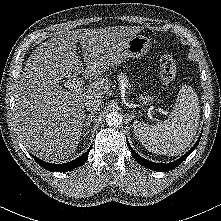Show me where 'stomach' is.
<instances>
[{
    "label": "stomach",
    "instance_id": "obj_1",
    "mask_svg": "<svg viewBox=\"0 0 221 221\" xmlns=\"http://www.w3.org/2000/svg\"><path fill=\"white\" fill-rule=\"evenodd\" d=\"M151 47V41L148 37L144 35H134L132 36L123 46L115 56L114 64L112 66L118 65L129 57L139 58L144 56ZM139 101L142 104H148L153 100V97L147 93L138 96Z\"/></svg>",
    "mask_w": 221,
    "mask_h": 221
}]
</instances>
